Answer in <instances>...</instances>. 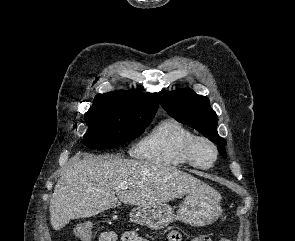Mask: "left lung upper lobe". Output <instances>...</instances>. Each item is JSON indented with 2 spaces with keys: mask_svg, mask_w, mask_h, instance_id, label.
<instances>
[{
  "mask_svg": "<svg viewBox=\"0 0 295 241\" xmlns=\"http://www.w3.org/2000/svg\"><path fill=\"white\" fill-rule=\"evenodd\" d=\"M161 106L177 121L195 128L218 145V150L226 157V140L217 133L218 118L210 108L209 99L196 94L191 89L158 93Z\"/></svg>",
  "mask_w": 295,
  "mask_h": 241,
  "instance_id": "left-lung-upper-lobe-1",
  "label": "left lung upper lobe"
}]
</instances>
